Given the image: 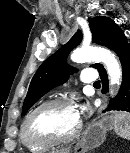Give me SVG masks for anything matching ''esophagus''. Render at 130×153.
Segmentation results:
<instances>
[{"mask_svg":"<svg viewBox=\"0 0 130 153\" xmlns=\"http://www.w3.org/2000/svg\"><path fill=\"white\" fill-rule=\"evenodd\" d=\"M105 107V103L103 102V104L100 106V108L98 109V116H100V114L102 113L103 109Z\"/></svg>","mask_w":130,"mask_h":153,"instance_id":"34e87169","label":"esophagus"}]
</instances>
